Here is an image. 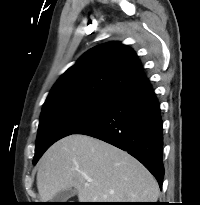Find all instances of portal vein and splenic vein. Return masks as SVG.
<instances>
[{
  "mask_svg": "<svg viewBox=\"0 0 200 205\" xmlns=\"http://www.w3.org/2000/svg\"><path fill=\"white\" fill-rule=\"evenodd\" d=\"M87 181H88V182H91V181H92V179L88 178V179H87Z\"/></svg>",
  "mask_w": 200,
  "mask_h": 205,
  "instance_id": "portal-vein-and-splenic-vein-1",
  "label": "portal vein and splenic vein"
}]
</instances>
